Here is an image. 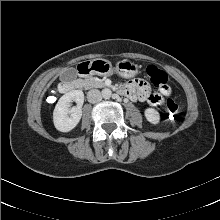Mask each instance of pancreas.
Returning <instances> with one entry per match:
<instances>
[{"label":"pancreas","instance_id":"1","mask_svg":"<svg viewBox=\"0 0 220 220\" xmlns=\"http://www.w3.org/2000/svg\"><path fill=\"white\" fill-rule=\"evenodd\" d=\"M82 85L85 89H90V88H101L105 86V83L97 78V77H86L84 80H81Z\"/></svg>","mask_w":220,"mask_h":220}]
</instances>
